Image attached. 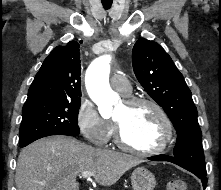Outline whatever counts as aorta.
<instances>
[{
  "mask_svg": "<svg viewBox=\"0 0 221 190\" xmlns=\"http://www.w3.org/2000/svg\"><path fill=\"white\" fill-rule=\"evenodd\" d=\"M110 63V55L100 56L90 64L85 76L87 92L103 118L112 114L113 105L119 100L109 84Z\"/></svg>",
  "mask_w": 221,
  "mask_h": 190,
  "instance_id": "aorta-1",
  "label": "aorta"
}]
</instances>
